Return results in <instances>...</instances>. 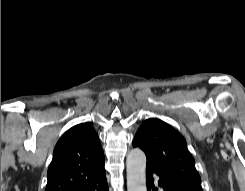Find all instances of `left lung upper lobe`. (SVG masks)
<instances>
[{
  "mask_svg": "<svg viewBox=\"0 0 245 191\" xmlns=\"http://www.w3.org/2000/svg\"><path fill=\"white\" fill-rule=\"evenodd\" d=\"M133 147L145 152L146 168L188 189L203 191L185 138L166 122L157 118L144 121L134 137Z\"/></svg>",
  "mask_w": 245,
  "mask_h": 191,
  "instance_id": "5c2ea615",
  "label": "left lung upper lobe"
}]
</instances>
